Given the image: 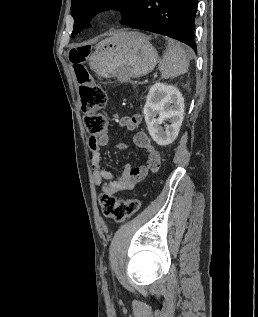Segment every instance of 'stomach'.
Masks as SVG:
<instances>
[{"label":"stomach","mask_w":258,"mask_h":317,"mask_svg":"<svg viewBox=\"0 0 258 317\" xmlns=\"http://www.w3.org/2000/svg\"><path fill=\"white\" fill-rule=\"evenodd\" d=\"M87 60L100 76L137 78L155 68L158 52L142 32L125 30L98 42Z\"/></svg>","instance_id":"obj_1"}]
</instances>
